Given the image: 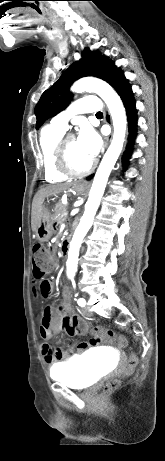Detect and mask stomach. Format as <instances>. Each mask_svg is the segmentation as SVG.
<instances>
[{
  "instance_id": "1",
  "label": "stomach",
  "mask_w": 165,
  "mask_h": 461,
  "mask_svg": "<svg viewBox=\"0 0 165 461\" xmlns=\"http://www.w3.org/2000/svg\"><path fill=\"white\" fill-rule=\"evenodd\" d=\"M78 194H83L86 190L85 185L82 183H77L76 186L73 188ZM53 234V222L51 220V215L49 211L44 208L42 211V217L40 224L35 231L36 238L40 242L48 241Z\"/></svg>"
}]
</instances>
